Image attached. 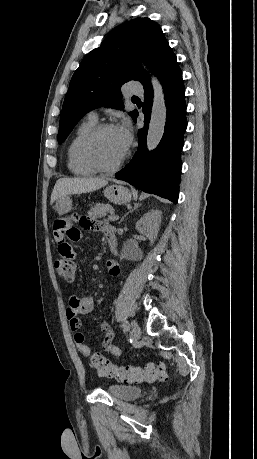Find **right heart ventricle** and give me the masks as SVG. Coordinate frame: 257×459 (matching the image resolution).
I'll return each mask as SVG.
<instances>
[{
	"instance_id": "right-heart-ventricle-1",
	"label": "right heart ventricle",
	"mask_w": 257,
	"mask_h": 459,
	"mask_svg": "<svg viewBox=\"0 0 257 459\" xmlns=\"http://www.w3.org/2000/svg\"><path fill=\"white\" fill-rule=\"evenodd\" d=\"M97 124L95 118L88 117L75 130L67 147V165L71 173L77 176H89L97 171L87 166L81 159L80 146L84 137Z\"/></svg>"
}]
</instances>
